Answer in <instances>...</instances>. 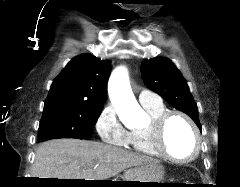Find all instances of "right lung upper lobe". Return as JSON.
Returning a JSON list of instances; mask_svg holds the SVG:
<instances>
[{
  "label": "right lung upper lobe",
  "mask_w": 240,
  "mask_h": 187,
  "mask_svg": "<svg viewBox=\"0 0 240 187\" xmlns=\"http://www.w3.org/2000/svg\"><path fill=\"white\" fill-rule=\"evenodd\" d=\"M110 61L91 54L73 58L51 85L44 107L60 104L103 106Z\"/></svg>",
  "instance_id": "obj_1"
}]
</instances>
